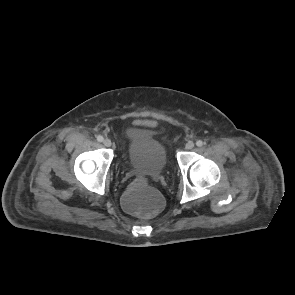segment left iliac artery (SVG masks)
Instances as JSON below:
<instances>
[{"label": "left iliac artery", "mask_w": 295, "mask_h": 295, "mask_svg": "<svg viewBox=\"0 0 295 295\" xmlns=\"http://www.w3.org/2000/svg\"><path fill=\"white\" fill-rule=\"evenodd\" d=\"M203 141L202 140H198L197 142H196V145L198 146V147H201V146H203Z\"/></svg>", "instance_id": "1"}]
</instances>
